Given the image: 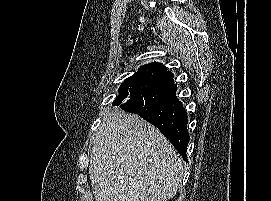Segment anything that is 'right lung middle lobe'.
<instances>
[{
	"label": "right lung middle lobe",
	"mask_w": 271,
	"mask_h": 201,
	"mask_svg": "<svg viewBox=\"0 0 271 201\" xmlns=\"http://www.w3.org/2000/svg\"><path fill=\"white\" fill-rule=\"evenodd\" d=\"M152 75L147 71H138L127 78L119 88V95L113 102V106L120 104L128 97L141 94L149 83Z\"/></svg>",
	"instance_id": "1"
}]
</instances>
